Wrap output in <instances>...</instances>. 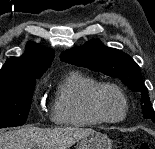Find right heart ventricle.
<instances>
[{"instance_id":"obj_1","label":"right heart ventricle","mask_w":155,"mask_h":149,"mask_svg":"<svg viewBox=\"0 0 155 149\" xmlns=\"http://www.w3.org/2000/svg\"><path fill=\"white\" fill-rule=\"evenodd\" d=\"M98 82L81 72H70L59 84L51 105L53 122L69 127L102 124L91 111L89 93Z\"/></svg>"}]
</instances>
